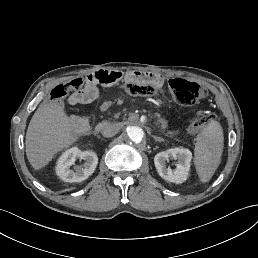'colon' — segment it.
Returning <instances> with one entry per match:
<instances>
[{
	"label": "colon",
	"instance_id": "5ec220e1",
	"mask_svg": "<svg viewBox=\"0 0 258 258\" xmlns=\"http://www.w3.org/2000/svg\"><path fill=\"white\" fill-rule=\"evenodd\" d=\"M85 80L81 77L74 78L67 83L59 84L51 91V100L63 99L70 91L80 90L84 87ZM169 90L173 98L181 105L192 106L199 103L205 96V88L197 83L190 82L181 78H173L168 81ZM123 87L126 92L134 96H152L156 92V88L152 84L129 79ZM214 119L213 114H206L196 118L189 126L191 133L199 132L206 124Z\"/></svg>",
	"mask_w": 258,
	"mask_h": 258
}]
</instances>
